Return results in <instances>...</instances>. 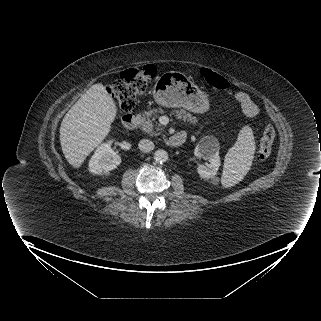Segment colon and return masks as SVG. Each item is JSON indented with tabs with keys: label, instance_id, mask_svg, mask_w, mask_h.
Returning <instances> with one entry per match:
<instances>
[{
	"label": "colon",
	"instance_id": "5ec220e1",
	"mask_svg": "<svg viewBox=\"0 0 321 321\" xmlns=\"http://www.w3.org/2000/svg\"><path fill=\"white\" fill-rule=\"evenodd\" d=\"M157 67L147 64L139 68H129L121 73L119 78L109 86V92L116 102L120 112H130L135 106L138 96L143 94L149 82L156 76ZM200 74L204 81L211 87L225 91L229 88L228 81L221 75L208 68H201ZM275 138V131L271 125L264 129L258 158L265 161L269 158Z\"/></svg>",
	"mask_w": 321,
	"mask_h": 321
}]
</instances>
